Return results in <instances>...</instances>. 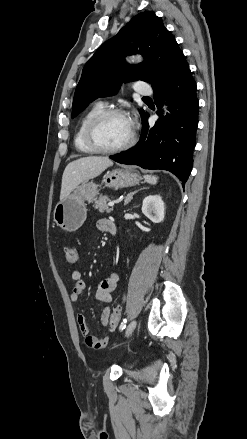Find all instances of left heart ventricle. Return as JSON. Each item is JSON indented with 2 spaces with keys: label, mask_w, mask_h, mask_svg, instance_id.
Masks as SVG:
<instances>
[{
  "label": "left heart ventricle",
  "mask_w": 247,
  "mask_h": 439,
  "mask_svg": "<svg viewBox=\"0 0 247 439\" xmlns=\"http://www.w3.org/2000/svg\"><path fill=\"white\" fill-rule=\"evenodd\" d=\"M131 129L129 119L122 116H112L105 119L99 126L98 140L104 147H118L129 139Z\"/></svg>",
  "instance_id": "b2bd125f"
}]
</instances>
